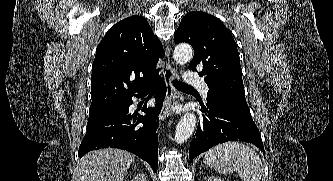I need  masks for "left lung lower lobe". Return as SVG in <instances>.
<instances>
[{
	"label": "left lung lower lobe",
	"instance_id": "left-lung-lower-lobe-1",
	"mask_svg": "<svg viewBox=\"0 0 333 181\" xmlns=\"http://www.w3.org/2000/svg\"><path fill=\"white\" fill-rule=\"evenodd\" d=\"M206 113L199 122L190 144V161L212 146L227 141H244L256 145L264 153L260 132L251 118L249 109L226 104L208 91ZM203 111V112H204Z\"/></svg>",
	"mask_w": 333,
	"mask_h": 181
}]
</instances>
